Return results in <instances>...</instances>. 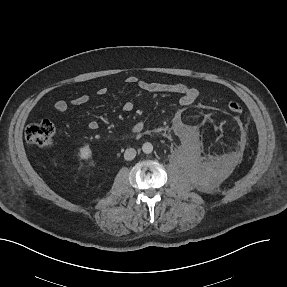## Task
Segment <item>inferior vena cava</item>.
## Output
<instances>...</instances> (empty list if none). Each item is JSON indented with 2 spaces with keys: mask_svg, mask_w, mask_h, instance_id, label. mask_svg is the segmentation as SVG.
Segmentation results:
<instances>
[{
  "mask_svg": "<svg viewBox=\"0 0 287 287\" xmlns=\"http://www.w3.org/2000/svg\"><path fill=\"white\" fill-rule=\"evenodd\" d=\"M136 156V150L134 148H128L125 150L124 159L127 161L133 160Z\"/></svg>",
  "mask_w": 287,
  "mask_h": 287,
  "instance_id": "1",
  "label": "inferior vena cava"
}]
</instances>
